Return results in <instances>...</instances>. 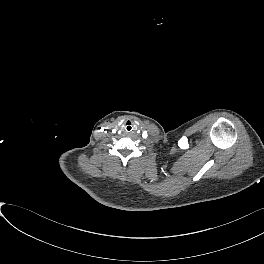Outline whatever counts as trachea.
<instances>
[{
  "mask_svg": "<svg viewBox=\"0 0 264 264\" xmlns=\"http://www.w3.org/2000/svg\"><path fill=\"white\" fill-rule=\"evenodd\" d=\"M122 129L125 133H131L134 130V125L132 122L127 121L123 124Z\"/></svg>",
  "mask_w": 264,
  "mask_h": 264,
  "instance_id": "obj_1",
  "label": "trachea"
}]
</instances>
